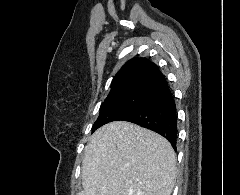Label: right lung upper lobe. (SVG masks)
I'll list each match as a JSON object with an SVG mask.
<instances>
[{
	"label": "right lung upper lobe",
	"instance_id": "1",
	"mask_svg": "<svg viewBox=\"0 0 240 195\" xmlns=\"http://www.w3.org/2000/svg\"><path fill=\"white\" fill-rule=\"evenodd\" d=\"M164 81L166 79L156 64L146 58H133L126 62L116 74L108 95L121 93L147 94Z\"/></svg>",
	"mask_w": 240,
	"mask_h": 195
}]
</instances>
